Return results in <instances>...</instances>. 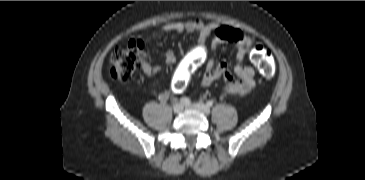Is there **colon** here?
<instances>
[{"label": "colon", "instance_id": "obj_1", "mask_svg": "<svg viewBox=\"0 0 365 180\" xmlns=\"http://www.w3.org/2000/svg\"><path fill=\"white\" fill-rule=\"evenodd\" d=\"M144 54V44L135 40L129 42L125 48L115 49L109 58L111 79L117 82L130 80L135 71L144 64ZM250 58L265 78L274 76L275 62L268 49L255 46L250 52ZM174 87L176 90H183L185 81H177Z\"/></svg>", "mask_w": 365, "mask_h": 180}]
</instances>
